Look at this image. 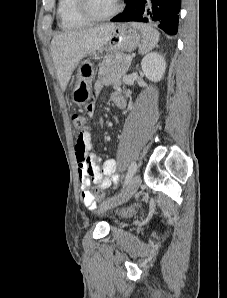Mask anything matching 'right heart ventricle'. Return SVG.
Listing matches in <instances>:
<instances>
[{
    "instance_id": "right-heart-ventricle-1",
    "label": "right heart ventricle",
    "mask_w": 227,
    "mask_h": 298,
    "mask_svg": "<svg viewBox=\"0 0 227 298\" xmlns=\"http://www.w3.org/2000/svg\"><path fill=\"white\" fill-rule=\"evenodd\" d=\"M57 13L60 25L65 30L83 28L90 24L79 13L77 0H59Z\"/></svg>"
}]
</instances>
